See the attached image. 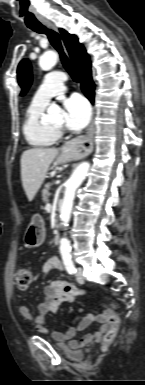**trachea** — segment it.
<instances>
[{
	"mask_svg": "<svg viewBox=\"0 0 145 385\" xmlns=\"http://www.w3.org/2000/svg\"><path fill=\"white\" fill-rule=\"evenodd\" d=\"M29 28L31 30L37 32V33H43V34L47 35L52 46L58 51V53L60 55L61 62L63 64V66L65 67V69L67 70V72L70 74V76L72 77V79L75 82H79V76H78L77 72L73 69L69 59L67 58V56L65 55V53L63 51V47L61 45L60 35L53 30L47 29L42 24L29 26Z\"/></svg>",
	"mask_w": 145,
	"mask_h": 385,
	"instance_id": "trachea-1",
	"label": "trachea"
}]
</instances>
